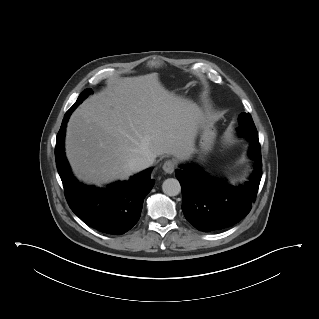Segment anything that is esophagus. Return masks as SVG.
<instances>
[{
  "label": "esophagus",
  "instance_id": "obj_1",
  "mask_svg": "<svg viewBox=\"0 0 319 319\" xmlns=\"http://www.w3.org/2000/svg\"><path fill=\"white\" fill-rule=\"evenodd\" d=\"M176 168V162L174 160H167L164 162L162 169L164 170V172L168 173V174H172L174 172Z\"/></svg>",
  "mask_w": 319,
  "mask_h": 319
}]
</instances>
